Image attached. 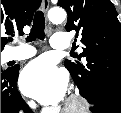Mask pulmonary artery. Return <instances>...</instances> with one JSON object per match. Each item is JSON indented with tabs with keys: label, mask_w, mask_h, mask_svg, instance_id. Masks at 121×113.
<instances>
[{
	"label": "pulmonary artery",
	"mask_w": 121,
	"mask_h": 113,
	"mask_svg": "<svg viewBox=\"0 0 121 113\" xmlns=\"http://www.w3.org/2000/svg\"><path fill=\"white\" fill-rule=\"evenodd\" d=\"M51 46L55 50L66 51L68 50L69 42L67 34H54L51 38ZM36 54L34 48L24 45L20 49H12L7 54L8 60H25L31 58Z\"/></svg>",
	"instance_id": "1"
}]
</instances>
